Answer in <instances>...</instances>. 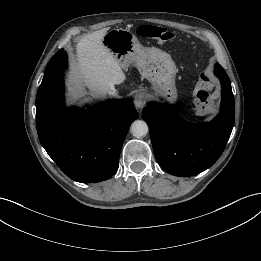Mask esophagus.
Masks as SVG:
<instances>
[{
  "label": "esophagus",
  "instance_id": "obj_1",
  "mask_svg": "<svg viewBox=\"0 0 261 261\" xmlns=\"http://www.w3.org/2000/svg\"><path fill=\"white\" fill-rule=\"evenodd\" d=\"M147 102V96L143 92H139L134 97V104L137 109H142Z\"/></svg>",
  "mask_w": 261,
  "mask_h": 261
}]
</instances>
